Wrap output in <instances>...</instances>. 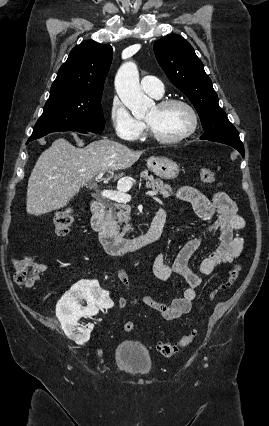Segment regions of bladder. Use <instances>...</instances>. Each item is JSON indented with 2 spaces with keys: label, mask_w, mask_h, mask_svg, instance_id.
Segmentation results:
<instances>
[{
  "label": "bladder",
  "mask_w": 269,
  "mask_h": 426,
  "mask_svg": "<svg viewBox=\"0 0 269 426\" xmlns=\"http://www.w3.org/2000/svg\"><path fill=\"white\" fill-rule=\"evenodd\" d=\"M114 361L123 370L137 376L146 375L152 369V359L147 348L129 339L122 340L116 346Z\"/></svg>",
  "instance_id": "obj_1"
}]
</instances>
